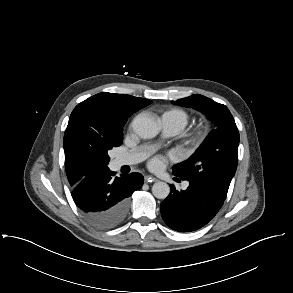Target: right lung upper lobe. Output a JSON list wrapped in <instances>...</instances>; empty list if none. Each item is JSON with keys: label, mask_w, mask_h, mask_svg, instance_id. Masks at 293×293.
Wrapping results in <instances>:
<instances>
[{"label": "right lung upper lobe", "mask_w": 293, "mask_h": 293, "mask_svg": "<svg viewBox=\"0 0 293 293\" xmlns=\"http://www.w3.org/2000/svg\"><path fill=\"white\" fill-rule=\"evenodd\" d=\"M96 102L100 105L105 114L128 119L133 113L146 107L152 101L144 98H137L126 94H113L102 92L96 94L78 104L70 115L69 123L64 135L65 166L68 181L75 185L86 173L76 163L73 155V148L76 141V129L80 122V114L83 103Z\"/></svg>", "instance_id": "obj_1"}]
</instances>
